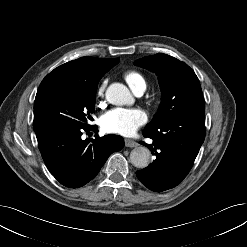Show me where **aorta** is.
I'll list each match as a JSON object with an SVG mask.
<instances>
[{
    "instance_id": "obj_1",
    "label": "aorta",
    "mask_w": 247,
    "mask_h": 247,
    "mask_svg": "<svg viewBox=\"0 0 247 247\" xmlns=\"http://www.w3.org/2000/svg\"><path fill=\"white\" fill-rule=\"evenodd\" d=\"M106 99L118 106L130 104L133 100L129 89L121 83H113L107 88ZM130 161L137 168H145L151 161V153L146 147L139 146L131 151Z\"/></svg>"
}]
</instances>
